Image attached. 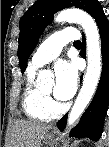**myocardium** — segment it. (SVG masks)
Masks as SVG:
<instances>
[{
	"instance_id": "myocardium-1",
	"label": "myocardium",
	"mask_w": 109,
	"mask_h": 147,
	"mask_svg": "<svg viewBox=\"0 0 109 147\" xmlns=\"http://www.w3.org/2000/svg\"><path fill=\"white\" fill-rule=\"evenodd\" d=\"M43 92V94L46 96V97H49L50 96V92H46V91H42Z\"/></svg>"
}]
</instances>
